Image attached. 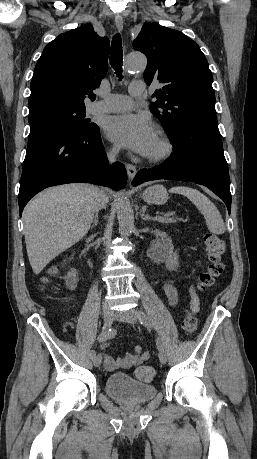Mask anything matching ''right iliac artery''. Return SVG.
Wrapping results in <instances>:
<instances>
[{"label": "right iliac artery", "mask_w": 257, "mask_h": 459, "mask_svg": "<svg viewBox=\"0 0 257 459\" xmlns=\"http://www.w3.org/2000/svg\"><path fill=\"white\" fill-rule=\"evenodd\" d=\"M116 331L113 328L103 330L97 337L98 342H104L108 339H111L115 336ZM96 356L95 350H92V357Z\"/></svg>", "instance_id": "right-iliac-artery-1"}]
</instances>
